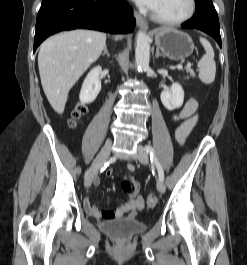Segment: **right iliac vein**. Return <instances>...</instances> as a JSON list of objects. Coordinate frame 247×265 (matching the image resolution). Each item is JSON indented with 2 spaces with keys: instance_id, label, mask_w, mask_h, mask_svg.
<instances>
[{
  "instance_id": "1",
  "label": "right iliac vein",
  "mask_w": 247,
  "mask_h": 265,
  "mask_svg": "<svg viewBox=\"0 0 247 265\" xmlns=\"http://www.w3.org/2000/svg\"><path fill=\"white\" fill-rule=\"evenodd\" d=\"M111 140L107 141L97 157L95 158L93 164L90 167V171L87 175L85 186L89 188L93 182V179L97 173V170L105 163V161L109 158L111 151Z\"/></svg>"
}]
</instances>
